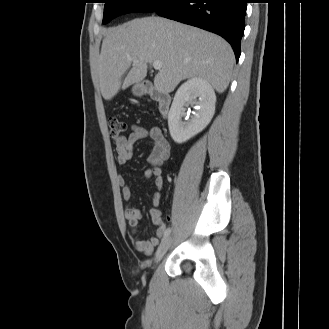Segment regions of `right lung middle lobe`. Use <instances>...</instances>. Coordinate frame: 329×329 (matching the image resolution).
<instances>
[{
	"instance_id": "dd1d6c3e",
	"label": "right lung middle lobe",
	"mask_w": 329,
	"mask_h": 329,
	"mask_svg": "<svg viewBox=\"0 0 329 329\" xmlns=\"http://www.w3.org/2000/svg\"><path fill=\"white\" fill-rule=\"evenodd\" d=\"M105 3L103 24L127 13L156 12L171 0H103Z\"/></svg>"
}]
</instances>
